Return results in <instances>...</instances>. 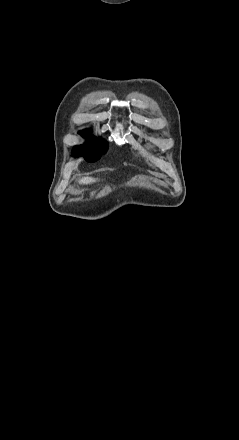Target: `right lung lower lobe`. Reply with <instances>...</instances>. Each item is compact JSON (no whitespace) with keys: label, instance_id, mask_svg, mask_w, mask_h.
<instances>
[{"label":"right lung lower lobe","instance_id":"right-lung-lower-lobe-1","mask_svg":"<svg viewBox=\"0 0 239 440\" xmlns=\"http://www.w3.org/2000/svg\"><path fill=\"white\" fill-rule=\"evenodd\" d=\"M75 154H83L85 159L88 162H94L98 160L101 157V153L96 152L94 150H79L77 152H74Z\"/></svg>","mask_w":239,"mask_h":440}]
</instances>
